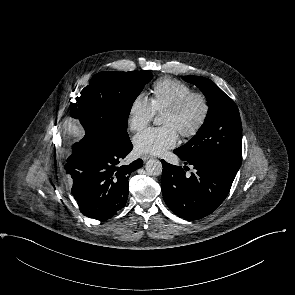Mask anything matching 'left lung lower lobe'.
Returning a JSON list of instances; mask_svg holds the SVG:
<instances>
[{
    "label": "left lung lower lobe",
    "instance_id": "1",
    "mask_svg": "<svg viewBox=\"0 0 295 295\" xmlns=\"http://www.w3.org/2000/svg\"><path fill=\"white\" fill-rule=\"evenodd\" d=\"M184 164L194 167L191 176L187 166L178 167L162 160L161 189L165 203L179 217L198 220L211 214L227 197L235 172L209 159H186L176 150Z\"/></svg>",
    "mask_w": 295,
    "mask_h": 295
}]
</instances>
